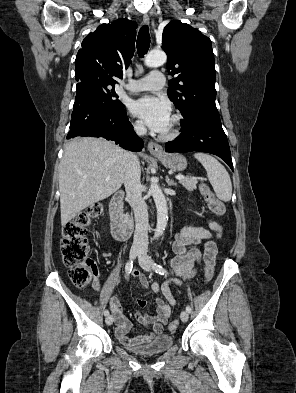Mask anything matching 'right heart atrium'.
<instances>
[{
	"label": "right heart atrium",
	"mask_w": 296,
	"mask_h": 393,
	"mask_svg": "<svg viewBox=\"0 0 296 393\" xmlns=\"http://www.w3.org/2000/svg\"><path fill=\"white\" fill-rule=\"evenodd\" d=\"M133 128L137 133H142L145 130L143 124L139 121L133 123Z\"/></svg>",
	"instance_id": "right-heart-atrium-1"
}]
</instances>
